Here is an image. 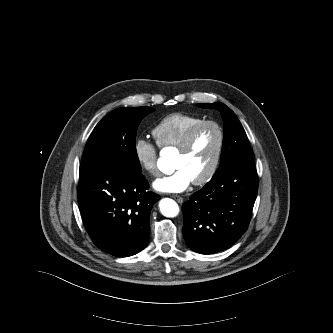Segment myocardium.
Returning a JSON list of instances; mask_svg holds the SVG:
<instances>
[{
  "mask_svg": "<svg viewBox=\"0 0 333 333\" xmlns=\"http://www.w3.org/2000/svg\"><path fill=\"white\" fill-rule=\"evenodd\" d=\"M207 126H212L217 131V134H218L217 148H216L215 156L213 158V161H212L209 169L200 178L192 181V183L194 185H203V184L209 182L213 178V176L216 174L218 167L220 165V162H221L224 143H225L224 130H223L222 126L219 123H217L216 121L205 120V121L197 124L195 127H193L191 129V131L185 137L183 143L178 147V152L181 154H186V153L190 152L198 133Z\"/></svg>",
  "mask_w": 333,
  "mask_h": 333,
  "instance_id": "1",
  "label": "myocardium"
}]
</instances>
